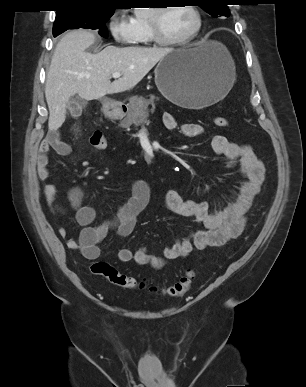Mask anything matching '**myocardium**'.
<instances>
[{
    "mask_svg": "<svg viewBox=\"0 0 306 387\" xmlns=\"http://www.w3.org/2000/svg\"><path fill=\"white\" fill-rule=\"evenodd\" d=\"M195 17V26L191 32L180 39H167L163 36L160 27V18L162 13L168 8L166 6L153 8L148 14V27L152 41L160 46H181L193 41L200 33L203 25V19L200 10L195 5H185Z\"/></svg>",
    "mask_w": 306,
    "mask_h": 387,
    "instance_id": "1",
    "label": "myocardium"
}]
</instances>
